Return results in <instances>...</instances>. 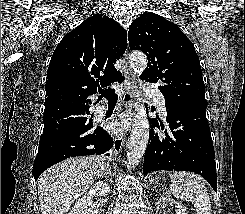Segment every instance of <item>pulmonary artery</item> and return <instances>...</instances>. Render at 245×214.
<instances>
[{
    "label": "pulmonary artery",
    "mask_w": 245,
    "mask_h": 214,
    "mask_svg": "<svg viewBox=\"0 0 245 214\" xmlns=\"http://www.w3.org/2000/svg\"><path fill=\"white\" fill-rule=\"evenodd\" d=\"M142 89L146 96L151 97L155 101L160 113L163 116H166L165 100L162 93L150 82H144ZM104 110V105H98L96 108V115H101Z\"/></svg>",
    "instance_id": "pulmonary-artery-1"
}]
</instances>
